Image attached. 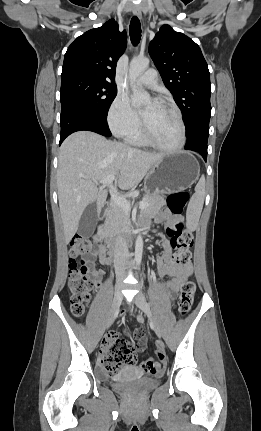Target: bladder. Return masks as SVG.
Returning <instances> with one entry per match:
<instances>
[{"instance_id":"1","label":"bladder","mask_w":261,"mask_h":431,"mask_svg":"<svg viewBox=\"0 0 261 431\" xmlns=\"http://www.w3.org/2000/svg\"><path fill=\"white\" fill-rule=\"evenodd\" d=\"M157 384L158 375L141 377L132 368H126L112 378V387L122 392L144 393L155 388Z\"/></svg>"}]
</instances>
